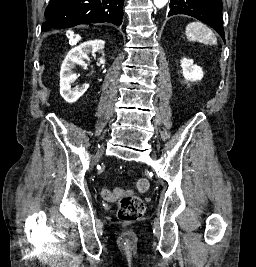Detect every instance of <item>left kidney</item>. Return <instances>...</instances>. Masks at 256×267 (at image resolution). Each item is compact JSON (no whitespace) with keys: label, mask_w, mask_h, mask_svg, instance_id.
Masks as SVG:
<instances>
[{"label":"left kidney","mask_w":256,"mask_h":267,"mask_svg":"<svg viewBox=\"0 0 256 267\" xmlns=\"http://www.w3.org/2000/svg\"><path fill=\"white\" fill-rule=\"evenodd\" d=\"M182 72L185 80H190V82H198V80H202L203 72L200 66H196L193 60H187V58H183L180 60Z\"/></svg>","instance_id":"5707ae66"}]
</instances>
